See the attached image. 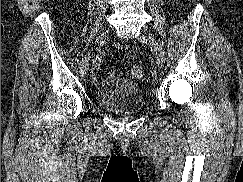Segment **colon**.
Returning a JSON list of instances; mask_svg holds the SVG:
<instances>
[{
  "label": "colon",
  "instance_id": "5ec220e1",
  "mask_svg": "<svg viewBox=\"0 0 243 182\" xmlns=\"http://www.w3.org/2000/svg\"><path fill=\"white\" fill-rule=\"evenodd\" d=\"M129 75L132 78L139 79L143 76V69L139 66H133L129 69Z\"/></svg>",
  "mask_w": 243,
  "mask_h": 182
}]
</instances>
